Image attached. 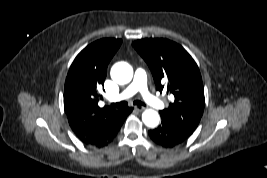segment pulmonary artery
<instances>
[{
    "instance_id": "1",
    "label": "pulmonary artery",
    "mask_w": 267,
    "mask_h": 178,
    "mask_svg": "<svg viewBox=\"0 0 267 178\" xmlns=\"http://www.w3.org/2000/svg\"><path fill=\"white\" fill-rule=\"evenodd\" d=\"M137 92L141 94L143 100L150 106L157 109L164 107V102L148 90L147 76L143 69H137L133 81L122 91L121 94L112 97L110 100L119 101L126 99L133 96Z\"/></svg>"
}]
</instances>
